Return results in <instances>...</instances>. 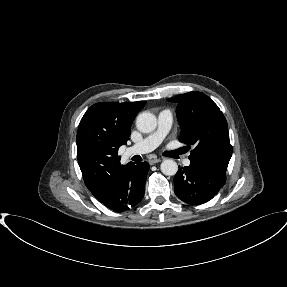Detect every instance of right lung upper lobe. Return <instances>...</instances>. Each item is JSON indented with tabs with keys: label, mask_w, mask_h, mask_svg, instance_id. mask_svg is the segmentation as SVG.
<instances>
[{
	"label": "right lung upper lobe",
	"mask_w": 287,
	"mask_h": 287,
	"mask_svg": "<svg viewBox=\"0 0 287 287\" xmlns=\"http://www.w3.org/2000/svg\"><path fill=\"white\" fill-rule=\"evenodd\" d=\"M145 103H97L82 117L76 137L77 158L85 185L95 197L124 167L118 149L127 143L130 126Z\"/></svg>",
	"instance_id": "cb5924a9"
}]
</instances>
